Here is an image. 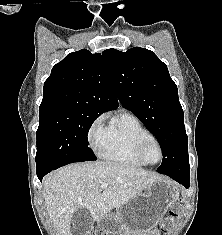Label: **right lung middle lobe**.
Listing matches in <instances>:
<instances>
[{
  "label": "right lung middle lobe",
  "instance_id": "dd1d6c3e",
  "mask_svg": "<svg viewBox=\"0 0 222 235\" xmlns=\"http://www.w3.org/2000/svg\"><path fill=\"white\" fill-rule=\"evenodd\" d=\"M100 114L65 108L40 113L36 133V171L57 169L73 162L96 160L88 147L87 135Z\"/></svg>",
  "mask_w": 222,
  "mask_h": 235
}]
</instances>
